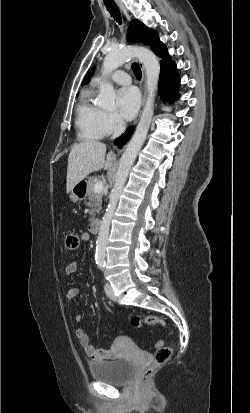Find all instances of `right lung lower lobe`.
Instances as JSON below:
<instances>
[{"label":"right lung lower lobe","instance_id":"98d812e1","mask_svg":"<svg viewBox=\"0 0 250 413\" xmlns=\"http://www.w3.org/2000/svg\"><path fill=\"white\" fill-rule=\"evenodd\" d=\"M133 126L129 127L127 131L120 137L118 138L115 143L119 146L122 147L130 138V135L132 133Z\"/></svg>","mask_w":250,"mask_h":413}]
</instances>
